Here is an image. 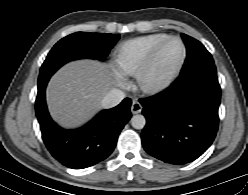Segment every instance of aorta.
<instances>
[{
	"label": "aorta",
	"mask_w": 248,
	"mask_h": 195,
	"mask_svg": "<svg viewBox=\"0 0 248 195\" xmlns=\"http://www.w3.org/2000/svg\"><path fill=\"white\" fill-rule=\"evenodd\" d=\"M146 124V119L143 115L137 114L131 118V125L135 129H143Z\"/></svg>",
	"instance_id": "1"
}]
</instances>
